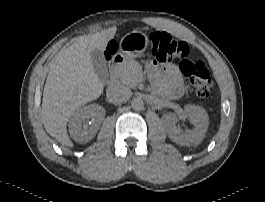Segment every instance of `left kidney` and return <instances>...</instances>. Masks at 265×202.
Returning <instances> with one entry per match:
<instances>
[{
    "instance_id": "left-kidney-1",
    "label": "left kidney",
    "mask_w": 265,
    "mask_h": 202,
    "mask_svg": "<svg viewBox=\"0 0 265 202\" xmlns=\"http://www.w3.org/2000/svg\"><path fill=\"white\" fill-rule=\"evenodd\" d=\"M183 116L189 117L194 125L192 129L185 132L176 126V123L179 121V116L176 114L167 113L162 117L168 137L181 146L198 145L205 137L209 125L207 112L199 106L187 105L184 108Z\"/></svg>"
}]
</instances>
